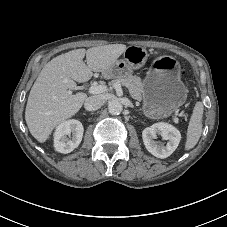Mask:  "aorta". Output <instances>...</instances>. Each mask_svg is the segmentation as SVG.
Instances as JSON below:
<instances>
[{
    "instance_id": "obj_1",
    "label": "aorta",
    "mask_w": 227,
    "mask_h": 227,
    "mask_svg": "<svg viewBox=\"0 0 227 227\" xmlns=\"http://www.w3.org/2000/svg\"><path fill=\"white\" fill-rule=\"evenodd\" d=\"M109 113L112 115H119L123 110V105L117 100H113L108 104Z\"/></svg>"
}]
</instances>
